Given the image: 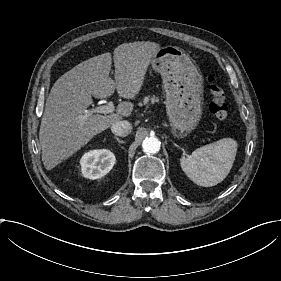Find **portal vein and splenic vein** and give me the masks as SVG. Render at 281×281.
I'll use <instances>...</instances> for the list:
<instances>
[{
	"label": "portal vein and splenic vein",
	"instance_id": "obj_1",
	"mask_svg": "<svg viewBox=\"0 0 281 281\" xmlns=\"http://www.w3.org/2000/svg\"><path fill=\"white\" fill-rule=\"evenodd\" d=\"M95 111L98 113L110 114L114 113L116 108L112 102H108L106 105L98 107Z\"/></svg>",
	"mask_w": 281,
	"mask_h": 281
}]
</instances>
